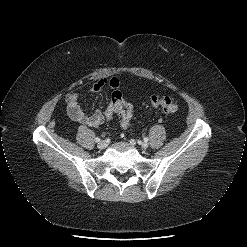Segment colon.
Masks as SVG:
<instances>
[{
	"instance_id": "5ec220e1",
	"label": "colon",
	"mask_w": 247,
	"mask_h": 247,
	"mask_svg": "<svg viewBox=\"0 0 247 247\" xmlns=\"http://www.w3.org/2000/svg\"><path fill=\"white\" fill-rule=\"evenodd\" d=\"M151 106L161 109L166 113H175L179 109V105L175 99L170 96L153 95L151 97ZM133 113L132 106L127 103L120 91H114L109 106L105 111V117L109 120L114 114L119 115L121 126L127 128Z\"/></svg>"
}]
</instances>
